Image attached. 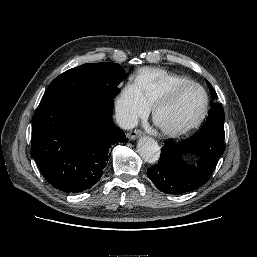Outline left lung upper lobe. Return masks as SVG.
I'll return each mask as SVG.
<instances>
[{
    "mask_svg": "<svg viewBox=\"0 0 257 257\" xmlns=\"http://www.w3.org/2000/svg\"><path fill=\"white\" fill-rule=\"evenodd\" d=\"M211 96L217 99L218 96L209 82H207ZM198 133H213L217 135H224V110L222 104L214 103L211 106L208 118Z\"/></svg>",
    "mask_w": 257,
    "mask_h": 257,
    "instance_id": "1",
    "label": "left lung upper lobe"
}]
</instances>
